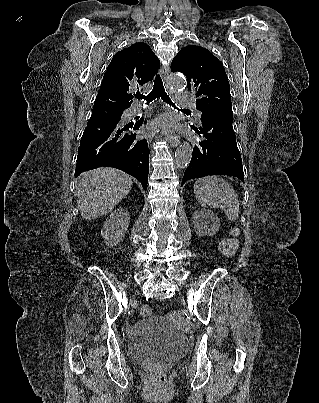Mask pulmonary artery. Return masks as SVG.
Masks as SVG:
<instances>
[{
    "instance_id": "1",
    "label": "pulmonary artery",
    "mask_w": 319,
    "mask_h": 403,
    "mask_svg": "<svg viewBox=\"0 0 319 403\" xmlns=\"http://www.w3.org/2000/svg\"><path fill=\"white\" fill-rule=\"evenodd\" d=\"M177 96H178V102H177L178 107L188 108L194 106V97L191 93L187 91H182L179 92ZM144 110H146V106H144L141 103H136L133 104L132 107L130 108V114L135 115L143 112Z\"/></svg>"
}]
</instances>
